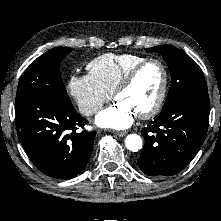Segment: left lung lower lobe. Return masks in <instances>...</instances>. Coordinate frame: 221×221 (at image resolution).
<instances>
[{
	"instance_id": "obj_1",
	"label": "left lung lower lobe",
	"mask_w": 221,
	"mask_h": 221,
	"mask_svg": "<svg viewBox=\"0 0 221 221\" xmlns=\"http://www.w3.org/2000/svg\"><path fill=\"white\" fill-rule=\"evenodd\" d=\"M208 92L189 95L162 111L142 131L145 146L138 159L150 176H172L183 170L200 149L208 129Z\"/></svg>"
}]
</instances>
